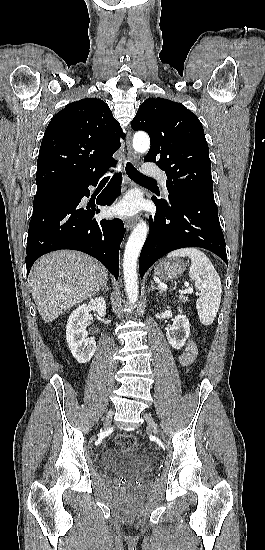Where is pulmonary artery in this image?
Returning a JSON list of instances; mask_svg holds the SVG:
<instances>
[{
  "label": "pulmonary artery",
  "mask_w": 265,
  "mask_h": 550,
  "mask_svg": "<svg viewBox=\"0 0 265 550\" xmlns=\"http://www.w3.org/2000/svg\"><path fill=\"white\" fill-rule=\"evenodd\" d=\"M149 173L150 175L156 177L161 182V184L164 187L165 195L167 196L168 192L166 190V175L164 174V172L159 169H152L149 171Z\"/></svg>",
  "instance_id": "pulmonary-artery-1"
}]
</instances>
